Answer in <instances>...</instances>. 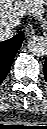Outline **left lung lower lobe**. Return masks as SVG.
<instances>
[{"label":"left lung lower lobe","instance_id":"obj_1","mask_svg":"<svg viewBox=\"0 0 47 129\" xmlns=\"http://www.w3.org/2000/svg\"><path fill=\"white\" fill-rule=\"evenodd\" d=\"M43 70H44V76H45L46 81H47V58H46V61H45V64H44Z\"/></svg>","mask_w":47,"mask_h":129}]
</instances>
